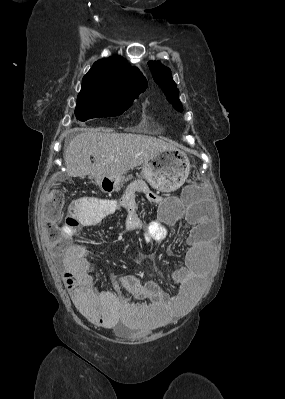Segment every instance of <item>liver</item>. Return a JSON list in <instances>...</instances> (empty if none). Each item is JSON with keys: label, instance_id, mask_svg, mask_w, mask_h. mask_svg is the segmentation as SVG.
Here are the masks:
<instances>
[{"label": "liver", "instance_id": "6515ba94", "mask_svg": "<svg viewBox=\"0 0 285 399\" xmlns=\"http://www.w3.org/2000/svg\"><path fill=\"white\" fill-rule=\"evenodd\" d=\"M174 148L172 143L148 135L87 129L70 141L64 161L68 176L97 180L105 176L122 177L159 151Z\"/></svg>", "mask_w": 285, "mask_h": 399}]
</instances>
